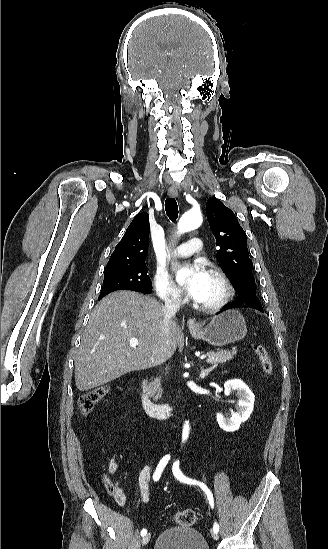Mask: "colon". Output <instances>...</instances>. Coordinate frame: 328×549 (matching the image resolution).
<instances>
[{
    "instance_id": "colon-1",
    "label": "colon",
    "mask_w": 328,
    "mask_h": 549,
    "mask_svg": "<svg viewBox=\"0 0 328 549\" xmlns=\"http://www.w3.org/2000/svg\"><path fill=\"white\" fill-rule=\"evenodd\" d=\"M252 350L259 360L260 366L265 374H271L273 371V362L267 348L261 344H253ZM108 388L100 386L85 392L79 400V406L84 414L90 413L94 407L106 396ZM197 520V515L193 510L185 509L175 513L174 521L182 526L193 525Z\"/></svg>"
}]
</instances>
